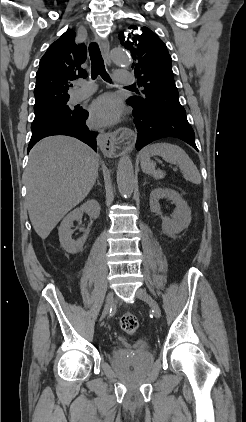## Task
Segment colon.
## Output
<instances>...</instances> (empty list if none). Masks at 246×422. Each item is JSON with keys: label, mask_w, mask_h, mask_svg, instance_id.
I'll return each instance as SVG.
<instances>
[{"label": "colon", "mask_w": 246, "mask_h": 422, "mask_svg": "<svg viewBox=\"0 0 246 422\" xmlns=\"http://www.w3.org/2000/svg\"><path fill=\"white\" fill-rule=\"evenodd\" d=\"M119 324L121 329L127 334H133L137 331L139 322L132 313H125L120 317Z\"/></svg>", "instance_id": "colon-1"}]
</instances>
